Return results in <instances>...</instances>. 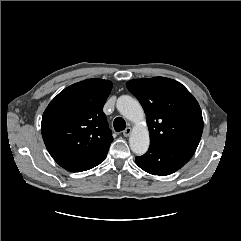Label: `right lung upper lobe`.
<instances>
[{"label":"right lung upper lobe","mask_w":241,"mask_h":241,"mask_svg":"<svg viewBox=\"0 0 241 241\" xmlns=\"http://www.w3.org/2000/svg\"><path fill=\"white\" fill-rule=\"evenodd\" d=\"M112 82L87 79L61 91L44 111L41 132L47 150L64 167L90 159L113 141L103 105Z\"/></svg>","instance_id":"1"}]
</instances>
